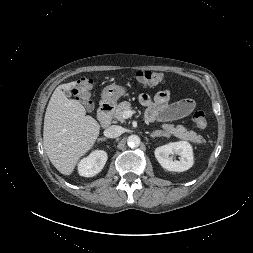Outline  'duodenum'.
<instances>
[{
  "mask_svg": "<svg viewBox=\"0 0 253 253\" xmlns=\"http://www.w3.org/2000/svg\"><path fill=\"white\" fill-rule=\"evenodd\" d=\"M113 111L114 105L111 102L104 101L101 103L98 109V119L102 127L110 125Z\"/></svg>",
  "mask_w": 253,
  "mask_h": 253,
  "instance_id": "duodenum-1",
  "label": "duodenum"
}]
</instances>
